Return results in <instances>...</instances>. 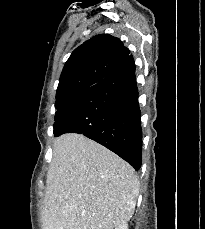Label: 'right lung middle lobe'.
Listing matches in <instances>:
<instances>
[{"mask_svg":"<svg viewBox=\"0 0 205 229\" xmlns=\"http://www.w3.org/2000/svg\"><path fill=\"white\" fill-rule=\"evenodd\" d=\"M74 98H72V99H65V100L61 101L60 104H59V106H56L55 105L56 109H58V110L61 109L62 107H64L65 105H67Z\"/></svg>","mask_w":205,"mask_h":229,"instance_id":"1","label":"right lung middle lobe"}]
</instances>
